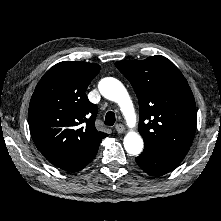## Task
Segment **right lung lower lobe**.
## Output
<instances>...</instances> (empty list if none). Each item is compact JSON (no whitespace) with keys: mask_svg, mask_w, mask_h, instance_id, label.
Wrapping results in <instances>:
<instances>
[{"mask_svg":"<svg viewBox=\"0 0 221 221\" xmlns=\"http://www.w3.org/2000/svg\"><path fill=\"white\" fill-rule=\"evenodd\" d=\"M97 151L98 147H96L92 152H90L88 155L84 156L83 158L79 159L78 161L59 168L68 172L80 171L95 158Z\"/></svg>","mask_w":221,"mask_h":221,"instance_id":"98d812e1","label":"right lung lower lobe"}]
</instances>
